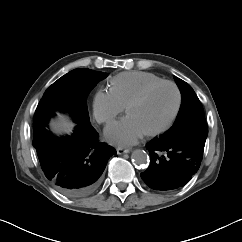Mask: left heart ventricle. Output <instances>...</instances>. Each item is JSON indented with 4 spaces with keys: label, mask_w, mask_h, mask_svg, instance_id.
Instances as JSON below:
<instances>
[{
    "label": "left heart ventricle",
    "mask_w": 242,
    "mask_h": 242,
    "mask_svg": "<svg viewBox=\"0 0 242 242\" xmlns=\"http://www.w3.org/2000/svg\"><path fill=\"white\" fill-rule=\"evenodd\" d=\"M177 96L170 85H161L154 89L141 103L133 106L128 115L132 116L144 132L164 125L171 117Z\"/></svg>",
    "instance_id": "1"
}]
</instances>
